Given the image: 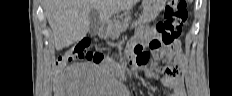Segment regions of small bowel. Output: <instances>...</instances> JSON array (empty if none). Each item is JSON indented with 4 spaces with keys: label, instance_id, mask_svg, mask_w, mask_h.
<instances>
[{
    "label": "small bowel",
    "instance_id": "obj_1",
    "mask_svg": "<svg viewBox=\"0 0 232 96\" xmlns=\"http://www.w3.org/2000/svg\"><path fill=\"white\" fill-rule=\"evenodd\" d=\"M153 35V28L149 26L139 27L136 35L129 42V48L133 51V48L137 45L142 47L149 46ZM174 48V63L171 66L166 67L161 73L147 71L146 76L159 79L164 86L171 90L172 96H185L184 78L181 73V69L184 65V57L181 53V45L179 41L174 43ZM132 86L135 87V82H132ZM131 96H140V93H131Z\"/></svg>",
    "mask_w": 232,
    "mask_h": 96
}]
</instances>
